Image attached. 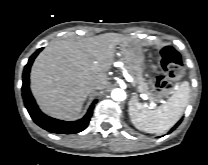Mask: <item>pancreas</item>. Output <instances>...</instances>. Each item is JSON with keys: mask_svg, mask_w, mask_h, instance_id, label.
Here are the masks:
<instances>
[{"mask_svg": "<svg viewBox=\"0 0 208 165\" xmlns=\"http://www.w3.org/2000/svg\"><path fill=\"white\" fill-rule=\"evenodd\" d=\"M125 67L128 70V72L133 76V68L128 64H125ZM139 80H140L139 88H140L141 92L146 93L151 99H154L152 97V94L149 92V88L147 86V83L145 82V79L142 76H140Z\"/></svg>", "mask_w": 208, "mask_h": 165, "instance_id": "1", "label": "pancreas"}]
</instances>
